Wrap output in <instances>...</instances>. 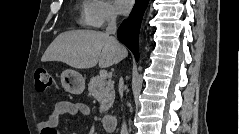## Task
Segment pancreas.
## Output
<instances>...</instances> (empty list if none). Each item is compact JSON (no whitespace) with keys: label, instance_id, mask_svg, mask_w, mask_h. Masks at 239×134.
Instances as JSON below:
<instances>
[{"label":"pancreas","instance_id":"cf45deb5","mask_svg":"<svg viewBox=\"0 0 239 134\" xmlns=\"http://www.w3.org/2000/svg\"><path fill=\"white\" fill-rule=\"evenodd\" d=\"M90 96L100 103V113H105L112 106L115 98L114 84L112 81H104L99 76L91 78L88 84Z\"/></svg>","mask_w":239,"mask_h":134}]
</instances>
